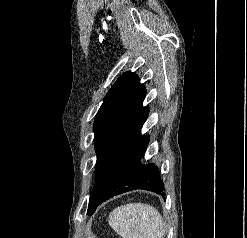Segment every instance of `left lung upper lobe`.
I'll use <instances>...</instances> for the list:
<instances>
[{"label":"left lung upper lobe","mask_w":247,"mask_h":238,"mask_svg":"<svg viewBox=\"0 0 247 238\" xmlns=\"http://www.w3.org/2000/svg\"><path fill=\"white\" fill-rule=\"evenodd\" d=\"M146 89L135 73H123L108 91L94 122L97 152L95 187L92 190L87 213L97 208V192L102 177L147 119L149 109L143 107Z\"/></svg>","instance_id":"obj_1"}]
</instances>
